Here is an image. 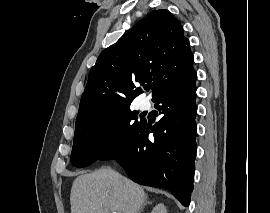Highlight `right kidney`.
Segmentation results:
<instances>
[{"label":"right kidney","mask_w":270,"mask_h":213,"mask_svg":"<svg viewBox=\"0 0 270 213\" xmlns=\"http://www.w3.org/2000/svg\"><path fill=\"white\" fill-rule=\"evenodd\" d=\"M151 213H167L166 207L164 206V204H158L156 205Z\"/></svg>","instance_id":"right-kidney-1"}]
</instances>
